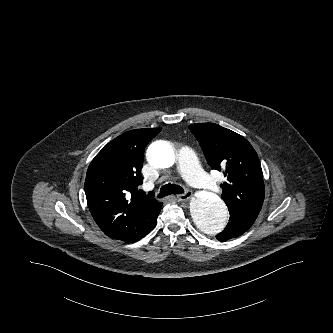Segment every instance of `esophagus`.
Segmentation results:
<instances>
[{
  "mask_svg": "<svg viewBox=\"0 0 333 333\" xmlns=\"http://www.w3.org/2000/svg\"><path fill=\"white\" fill-rule=\"evenodd\" d=\"M190 197H191L190 191H186L185 193L177 195L178 201H187V200H189Z\"/></svg>",
  "mask_w": 333,
  "mask_h": 333,
  "instance_id": "obj_1",
  "label": "esophagus"
}]
</instances>
